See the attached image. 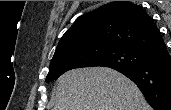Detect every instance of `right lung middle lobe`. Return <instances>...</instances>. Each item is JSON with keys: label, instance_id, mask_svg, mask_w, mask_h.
Instances as JSON below:
<instances>
[{"label": "right lung middle lobe", "instance_id": "dd1d6c3e", "mask_svg": "<svg viewBox=\"0 0 171 110\" xmlns=\"http://www.w3.org/2000/svg\"><path fill=\"white\" fill-rule=\"evenodd\" d=\"M147 60V54L126 47H83L53 56L46 82L57 79L64 72L80 67L104 66L113 69L136 67Z\"/></svg>", "mask_w": 171, "mask_h": 110}]
</instances>
